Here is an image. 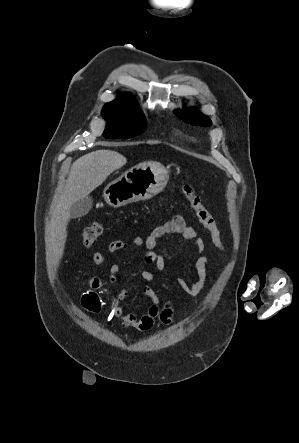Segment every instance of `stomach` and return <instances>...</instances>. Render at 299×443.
Segmentation results:
<instances>
[{
	"instance_id": "1",
	"label": "stomach",
	"mask_w": 299,
	"mask_h": 443,
	"mask_svg": "<svg viewBox=\"0 0 299 443\" xmlns=\"http://www.w3.org/2000/svg\"><path fill=\"white\" fill-rule=\"evenodd\" d=\"M169 180V173L159 163L139 164L107 185L104 198L112 207L144 201L160 193Z\"/></svg>"
}]
</instances>
